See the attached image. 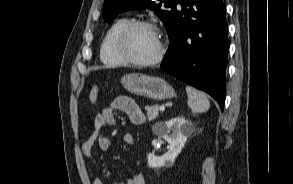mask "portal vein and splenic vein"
Here are the masks:
<instances>
[{"instance_id":"18ae733b","label":"portal vein and splenic vein","mask_w":293,"mask_h":184,"mask_svg":"<svg viewBox=\"0 0 293 184\" xmlns=\"http://www.w3.org/2000/svg\"><path fill=\"white\" fill-rule=\"evenodd\" d=\"M159 110H160V111H164V110H165V107H164V106H160V107H159Z\"/></svg>"}]
</instances>
